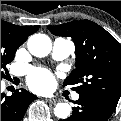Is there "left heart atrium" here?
I'll return each mask as SVG.
<instances>
[{
	"label": "left heart atrium",
	"mask_w": 121,
	"mask_h": 121,
	"mask_svg": "<svg viewBox=\"0 0 121 121\" xmlns=\"http://www.w3.org/2000/svg\"><path fill=\"white\" fill-rule=\"evenodd\" d=\"M28 84L32 90L38 93H47L54 89L56 81L50 71L34 68L28 75Z\"/></svg>",
	"instance_id": "39dd6f15"
}]
</instances>
